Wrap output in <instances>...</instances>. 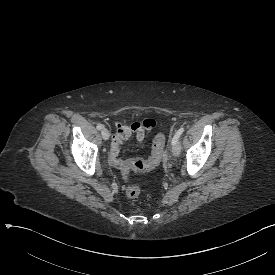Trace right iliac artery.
I'll return each instance as SVG.
<instances>
[{"instance_id":"1","label":"right iliac artery","mask_w":275,"mask_h":275,"mask_svg":"<svg viewBox=\"0 0 275 275\" xmlns=\"http://www.w3.org/2000/svg\"><path fill=\"white\" fill-rule=\"evenodd\" d=\"M96 128H97L98 130H101V129L103 128V125H102V124H98V125L96 126Z\"/></svg>"}]
</instances>
